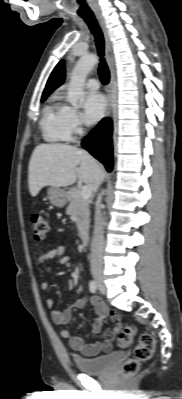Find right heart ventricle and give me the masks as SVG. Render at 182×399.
<instances>
[{
  "label": "right heart ventricle",
  "mask_w": 182,
  "mask_h": 399,
  "mask_svg": "<svg viewBox=\"0 0 182 399\" xmlns=\"http://www.w3.org/2000/svg\"><path fill=\"white\" fill-rule=\"evenodd\" d=\"M68 107L58 101H52L43 110L41 129L43 137L49 142H65L72 134L67 123Z\"/></svg>",
  "instance_id": "right-heart-ventricle-1"
}]
</instances>
